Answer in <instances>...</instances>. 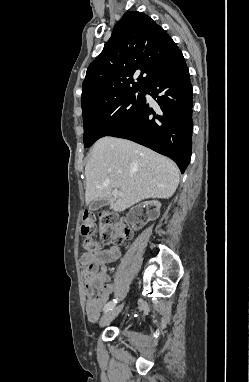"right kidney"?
Segmentation results:
<instances>
[{
  "label": "right kidney",
  "instance_id": "obj_1",
  "mask_svg": "<svg viewBox=\"0 0 249 382\" xmlns=\"http://www.w3.org/2000/svg\"><path fill=\"white\" fill-rule=\"evenodd\" d=\"M156 207L152 211L148 212V221L156 220L160 215L161 203L158 201H152L151 198H146L141 207L140 204H135L131 211L128 213V221L131 223V228L136 230H142L145 225V218L138 217L140 214H147L150 208Z\"/></svg>",
  "mask_w": 249,
  "mask_h": 382
}]
</instances>
